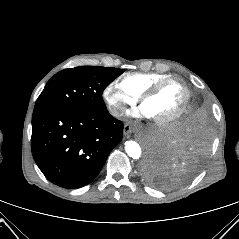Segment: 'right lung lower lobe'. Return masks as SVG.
Instances as JSON below:
<instances>
[{"instance_id":"98d812e1","label":"right lung lower lobe","mask_w":239,"mask_h":239,"mask_svg":"<svg viewBox=\"0 0 239 239\" xmlns=\"http://www.w3.org/2000/svg\"><path fill=\"white\" fill-rule=\"evenodd\" d=\"M123 136V123L100 111L46 108L32 116L33 158L52 183L67 189L89 184Z\"/></svg>"}]
</instances>
